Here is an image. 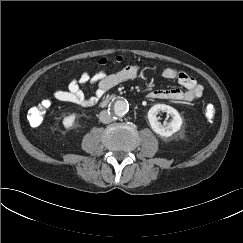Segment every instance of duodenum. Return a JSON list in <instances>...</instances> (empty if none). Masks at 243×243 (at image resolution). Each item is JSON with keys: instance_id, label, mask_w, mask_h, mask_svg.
Wrapping results in <instances>:
<instances>
[{"instance_id": "obj_1", "label": "duodenum", "mask_w": 243, "mask_h": 243, "mask_svg": "<svg viewBox=\"0 0 243 243\" xmlns=\"http://www.w3.org/2000/svg\"><path fill=\"white\" fill-rule=\"evenodd\" d=\"M110 99H111V98L103 100V101L100 103L101 106H105V105L109 102Z\"/></svg>"}]
</instances>
